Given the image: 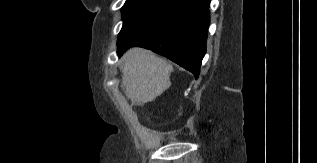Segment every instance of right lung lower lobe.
I'll return each instance as SVG.
<instances>
[{"instance_id":"right-lung-lower-lobe-1","label":"right lung lower lobe","mask_w":317,"mask_h":163,"mask_svg":"<svg viewBox=\"0 0 317 163\" xmlns=\"http://www.w3.org/2000/svg\"><path fill=\"white\" fill-rule=\"evenodd\" d=\"M210 0H176L159 18L119 39L118 49L129 46L150 49L192 72L198 78L206 52Z\"/></svg>"}]
</instances>
